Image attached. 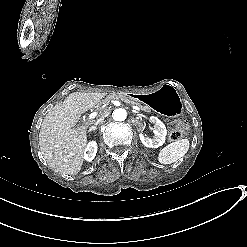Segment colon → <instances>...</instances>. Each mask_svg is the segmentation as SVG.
Wrapping results in <instances>:
<instances>
[{
	"mask_svg": "<svg viewBox=\"0 0 247 247\" xmlns=\"http://www.w3.org/2000/svg\"><path fill=\"white\" fill-rule=\"evenodd\" d=\"M187 131L188 124L184 118L174 120L171 126L170 140L173 142L179 141Z\"/></svg>",
	"mask_w": 247,
	"mask_h": 247,
	"instance_id": "1",
	"label": "colon"
}]
</instances>
